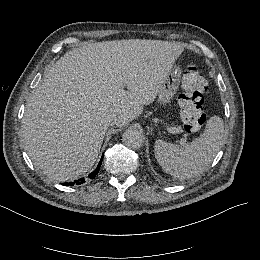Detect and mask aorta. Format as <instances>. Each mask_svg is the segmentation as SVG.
I'll use <instances>...</instances> for the list:
<instances>
[{
    "mask_svg": "<svg viewBox=\"0 0 260 260\" xmlns=\"http://www.w3.org/2000/svg\"><path fill=\"white\" fill-rule=\"evenodd\" d=\"M122 142L130 148L138 149L144 143V135L136 129H128L122 135Z\"/></svg>",
    "mask_w": 260,
    "mask_h": 260,
    "instance_id": "1",
    "label": "aorta"
}]
</instances>
